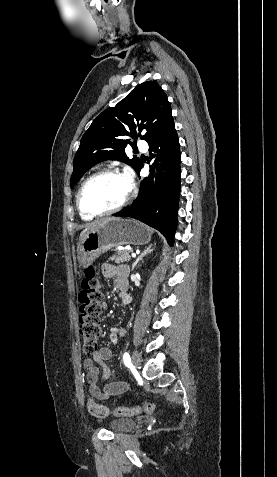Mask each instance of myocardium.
Here are the masks:
<instances>
[{
    "instance_id": "obj_1",
    "label": "myocardium",
    "mask_w": 277,
    "mask_h": 477,
    "mask_svg": "<svg viewBox=\"0 0 277 477\" xmlns=\"http://www.w3.org/2000/svg\"><path fill=\"white\" fill-rule=\"evenodd\" d=\"M106 174H114V175H120V176H124V174L117 168H104V169H101L95 173H93L92 175H90L83 183L82 185L80 186L79 190H78V193H77V196H76V204H77V208L79 210V212L83 215H86V216H90V217H100V216H105V215H109V214H113V213H116L118 211H120L121 209H123L131 200V196H132V189L131 187H129L128 189V192L126 194V196L124 197V199L118 204L116 205L115 207H112L110 209H107V210H104V211H100V212H92V211H88L84 208L83 206V203H82V196H83V192L86 188V186L95 178L101 176V175H106Z\"/></svg>"
}]
</instances>
